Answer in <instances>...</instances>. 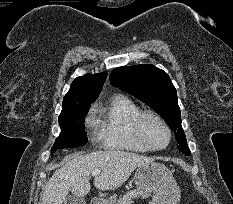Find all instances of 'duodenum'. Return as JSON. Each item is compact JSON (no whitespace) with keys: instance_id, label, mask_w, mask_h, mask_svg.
<instances>
[{"instance_id":"1","label":"duodenum","mask_w":233,"mask_h":204,"mask_svg":"<svg viewBox=\"0 0 233 204\" xmlns=\"http://www.w3.org/2000/svg\"><path fill=\"white\" fill-rule=\"evenodd\" d=\"M91 204H103V202L100 199L95 198L91 201Z\"/></svg>"}]
</instances>
